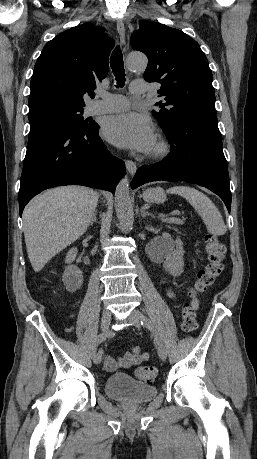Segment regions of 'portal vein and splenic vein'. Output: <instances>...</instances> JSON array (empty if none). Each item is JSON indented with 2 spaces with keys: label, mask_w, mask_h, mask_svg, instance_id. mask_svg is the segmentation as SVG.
Here are the masks:
<instances>
[{
  "label": "portal vein and splenic vein",
  "mask_w": 257,
  "mask_h": 459,
  "mask_svg": "<svg viewBox=\"0 0 257 459\" xmlns=\"http://www.w3.org/2000/svg\"><path fill=\"white\" fill-rule=\"evenodd\" d=\"M173 214H177V213L174 212ZM168 220H169V222L183 224V221L181 219H179V218H169Z\"/></svg>",
  "instance_id": "obj_1"
}]
</instances>
